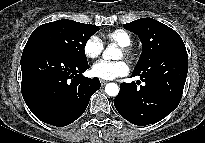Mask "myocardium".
Listing matches in <instances>:
<instances>
[{
	"label": "myocardium",
	"instance_id": "obj_1",
	"mask_svg": "<svg viewBox=\"0 0 205 143\" xmlns=\"http://www.w3.org/2000/svg\"><path fill=\"white\" fill-rule=\"evenodd\" d=\"M120 50L128 61L133 62L136 60L137 55L131 46H120Z\"/></svg>",
	"mask_w": 205,
	"mask_h": 143
}]
</instances>
